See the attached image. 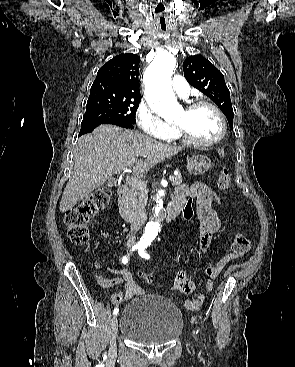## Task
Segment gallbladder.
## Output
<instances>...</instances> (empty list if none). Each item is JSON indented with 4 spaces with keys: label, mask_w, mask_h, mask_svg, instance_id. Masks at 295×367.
Instances as JSON below:
<instances>
[{
    "label": "gallbladder",
    "mask_w": 295,
    "mask_h": 367,
    "mask_svg": "<svg viewBox=\"0 0 295 367\" xmlns=\"http://www.w3.org/2000/svg\"><path fill=\"white\" fill-rule=\"evenodd\" d=\"M113 183H115L114 180H109V184H113Z\"/></svg>",
    "instance_id": "gallbladder-1"
}]
</instances>
